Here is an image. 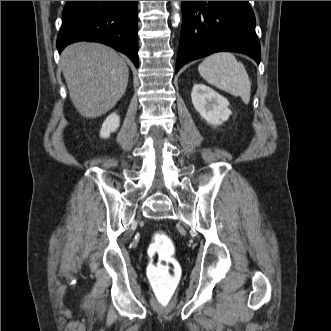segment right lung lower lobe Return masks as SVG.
<instances>
[{
    "mask_svg": "<svg viewBox=\"0 0 331 331\" xmlns=\"http://www.w3.org/2000/svg\"><path fill=\"white\" fill-rule=\"evenodd\" d=\"M78 41L111 46L138 67L137 1H67L57 38L59 53Z\"/></svg>",
    "mask_w": 331,
    "mask_h": 331,
    "instance_id": "98d812e1",
    "label": "right lung lower lobe"
}]
</instances>
